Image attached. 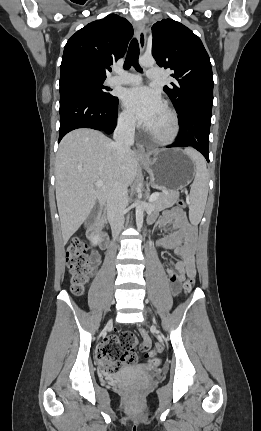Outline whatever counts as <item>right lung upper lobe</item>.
I'll return each instance as SVG.
<instances>
[{
	"instance_id": "right-lung-upper-lobe-1",
	"label": "right lung upper lobe",
	"mask_w": 261,
	"mask_h": 431,
	"mask_svg": "<svg viewBox=\"0 0 261 431\" xmlns=\"http://www.w3.org/2000/svg\"><path fill=\"white\" fill-rule=\"evenodd\" d=\"M132 35V25L116 14L87 24L67 41L61 74L79 70L106 78L109 66L125 54Z\"/></svg>"
}]
</instances>
